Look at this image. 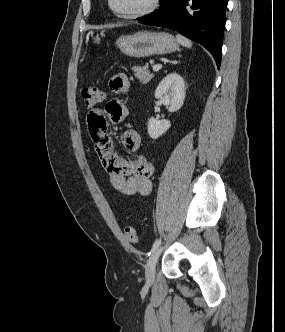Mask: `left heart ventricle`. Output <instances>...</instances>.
Returning <instances> with one entry per match:
<instances>
[{
    "instance_id": "b2bd125f",
    "label": "left heart ventricle",
    "mask_w": 285,
    "mask_h": 332,
    "mask_svg": "<svg viewBox=\"0 0 285 332\" xmlns=\"http://www.w3.org/2000/svg\"><path fill=\"white\" fill-rule=\"evenodd\" d=\"M151 0H112L113 7L120 13H131L146 8Z\"/></svg>"
}]
</instances>
